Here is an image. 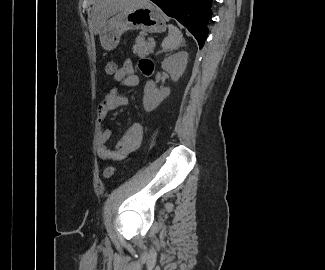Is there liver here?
Segmentation results:
<instances>
[{
    "instance_id": "liver-1",
    "label": "liver",
    "mask_w": 325,
    "mask_h": 270,
    "mask_svg": "<svg viewBox=\"0 0 325 270\" xmlns=\"http://www.w3.org/2000/svg\"><path fill=\"white\" fill-rule=\"evenodd\" d=\"M141 3L145 0H95L92 7V30L100 34L106 20L112 15Z\"/></svg>"
}]
</instances>
